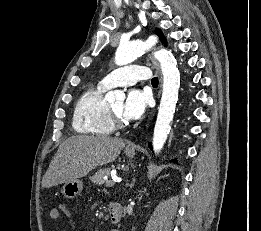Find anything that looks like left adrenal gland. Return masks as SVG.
<instances>
[{
  "mask_svg": "<svg viewBox=\"0 0 261 231\" xmlns=\"http://www.w3.org/2000/svg\"><path fill=\"white\" fill-rule=\"evenodd\" d=\"M134 182H135V180H133V183L131 184V186H134Z\"/></svg>",
  "mask_w": 261,
  "mask_h": 231,
  "instance_id": "1",
  "label": "left adrenal gland"
}]
</instances>
